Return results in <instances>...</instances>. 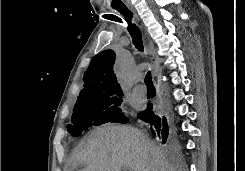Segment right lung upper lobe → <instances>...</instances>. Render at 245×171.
<instances>
[{"label": "right lung upper lobe", "mask_w": 245, "mask_h": 171, "mask_svg": "<svg viewBox=\"0 0 245 171\" xmlns=\"http://www.w3.org/2000/svg\"><path fill=\"white\" fill-rule=\"evenodd\" d=\"M115 59V53L110 49L93 57L84 74V88L80 92L77 101L122 93L113 73Z\"/></svg>", "instance_id": "right-lung-upper-lobe-1"}]
</instances>
